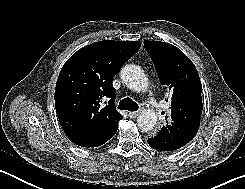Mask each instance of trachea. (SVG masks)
<instances>
[{
    "mask_svg": "<svg viewBox=\"0 0 245 189\" xmlns=\"http://www.w3.org/2000/svg\"><path fill=\"white\" fill-rule=\"evenodd\" d=\"M138 108V104L129 97L122 99L118 106V109L128 111H137Z\"/></svg>",
    "mask_w": 245,
    "mask_h": 189,
    "instance_id": "3493384b",
    "label": "trachea"
}]
</instances>
